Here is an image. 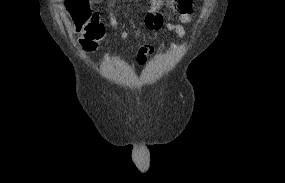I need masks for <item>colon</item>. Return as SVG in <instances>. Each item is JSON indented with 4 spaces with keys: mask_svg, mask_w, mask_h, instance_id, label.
<instances>
[{
    "mask_svg": "<svg viewBox=\"0 0 285 183\" xmlns=\"http://www.w3.org/2000/svg\"><path fill=\"white\" fill-rule=\"evenodd\" d=\"M180 0H176L178 3ZM68 12L75 28L81 34L80 43L87 51H93L104 36V26L90 9L89 0H66ZM181 11H192L191 7H179Z\"/></svg>",
    "mask_w": 285,
    "mask_h": 183,
    "instance_id": "1",
    "label": "colon"
}]
</instances>
